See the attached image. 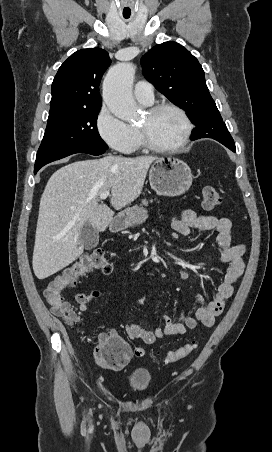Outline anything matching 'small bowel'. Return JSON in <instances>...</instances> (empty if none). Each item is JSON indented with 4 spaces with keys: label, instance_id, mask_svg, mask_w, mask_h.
I'll return each instance as SVG.
<instances>
[{
    "label": "small bowel",
    "instance_id": "obj_1",
    "mask_svg": "<svg viewBox=\"0 0 272 452\" xmlns=\"http://www.w3.org/2000/svg\"><path fill=\"white\" fill-rule=\"evenodd\" d=\"M173 230L183 236H188L192 231H217V244L219 255L222 262L228 264L225 277L218 287V291L209 302L202 295L197 296V305L193 314L173 319L169 316H163V326L155 330L146 329L136 323L127 324L125 332L130 339H139L147 345L156 342L157 339L170 335H181L187 330L196 328L198 322L204 326H212L215 318L222 313L226 302L233 295L235 282L243 275L245 263L243 257L246 253L244 244H232V222L227 217H216L213 215H202L194 210H186L181 215L172 218ZM105 291L93 290L90 293H76L75 301L79 306L80 312H87L91 301L99 298ZM148 291L146 290L138 299L139 305L144 304ZM68 325H75L81 321L76 311L62 316ZM101 335H110L121 338L116 330ZM131 356L130 348L126 345ZM145 355V354H144ZM143 355V356H144ZM139 357V356H138ZM141 357V356H140Z\"/></svg>",
    "mask_w": 272,
    "mask_h": 452
}]
</instances>
